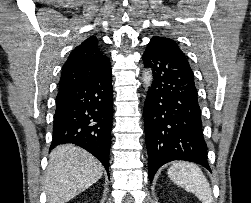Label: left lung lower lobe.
Wrapping results in <instances>:
<instances>
[{
	"label": "left lung lower lobe",
	"instance_id": "0a47b994",
	"mask_svg": "<svg viewBox=\"0 0 251 203\" xmlns=\"http://www.w3.org/2000/svg\"><path fill=\"white\" fill-rule=\"evenodd\" d=\"M142 59L153 73L144 105L150 181L173 160L210 170L194 74L186 57L171 44L151 40Z\"/></svg>",
	"mask_w": 251,
	"mask_h": 203
}]
</instances>
